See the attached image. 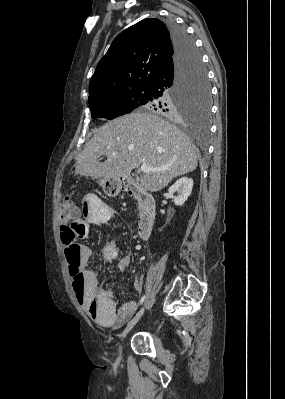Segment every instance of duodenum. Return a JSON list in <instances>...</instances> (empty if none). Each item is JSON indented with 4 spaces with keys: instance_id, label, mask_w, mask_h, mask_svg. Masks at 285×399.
<instances>
[{
    "instance_id": "duodenum-1",
    "label": "duodenum",
    "mask_w": 285,
    "mask_h": 399,
    "mask_svg": "<svg viewBox=\"0 0 285 399\" xmlns=\"http://www.w3.org/2000/svg\"><path fill=\"white\" fill-rule=\"evenodd\" d=\"M126 192L135 198L139 204V238L146 240L149 238L153 227L156 223V207L153 197L145 192L137 184H129L126 186Z\"/></svg>"
}]
</instances>
